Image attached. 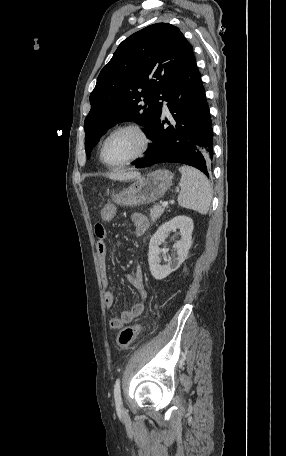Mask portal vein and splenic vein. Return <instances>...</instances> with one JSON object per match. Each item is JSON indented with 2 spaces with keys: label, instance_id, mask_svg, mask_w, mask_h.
Instances as JSON below:
<instances>
[{
  "label": "portal vein and splenic vein",
  "instance_id": "portal-vein-and-splenic-vein-1",
  "mask_svg": "<svg viewBox=\"0 0 286 456\" xmlns=\"http://www.w3.org/2000/svg\"><path fill=\"white\" fill-rule=\"evenodd\" d=\"M167 205H168V202H167V201L162 202V206H163V207H166Z\"/></svg>",
  "mask_w": 286,
  "mask_h": 456
}]
</instances>
